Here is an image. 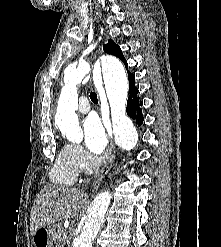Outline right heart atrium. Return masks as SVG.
Masks as SVG:
<instances>
[{"label": "right heart atrium", "instance_id": "d8ad5b80", "mask_svg": "<svg viewBox=\"0 0 221 247\" xmlns=\"http://www.w3.org/2000/svg\"><path fill=\"white\" fill-rule=\"evenodd\" d=\"M72 163L78 173L86 172L90 168V159L87 153L76 144L69 145Z\"/></svg>", "mask_w": 221, "mask_h": 247}]
</instances>
